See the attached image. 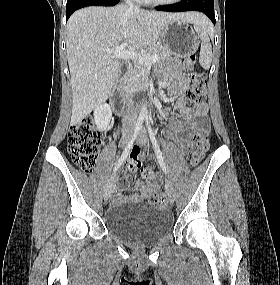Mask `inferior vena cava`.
Returning <instances> with one entry per match:
<instances>
[{
    "label": "inferior vena cava",
    "mask_w": 280,
    "mask_h": 285,
    "mask_svg": "<svg viewBox=\"0 0 280 285\" xmlns=\"http://www.w3.org/2000/svg\"><path fill=\"white\" fill-rule=\"evenodd\" d=\"M125 3L128 7L131 9H139L137 5H134L132 0H125ZM133 101L131 98L127 99L126 101V111L125 115L123 116V125H134L137 119V113L136 111L132 108Z\"/></svg>",
    "instance_id": "1"
}]
</instances>
